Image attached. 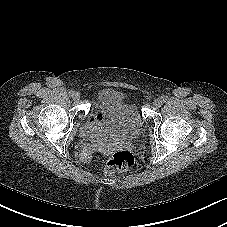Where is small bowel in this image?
I'll return each instance as SVG.
<instances>
[{
	"label": "small bowel",
	"instance_id": "c3829d8e",
	"mask_svg": "<svg viewBox=\"0 0 227 227\" xmlns=\"http://www.w3.org/2000/svg\"><path fill=\"white\" fill-rule=\"evenodd\" d=\"M82 137L94 141L99 136V127L93 117H90L80 130Z\"/></svg>",
	"mask_w": 227,
	"mask_h": 227
}]
</instances>
